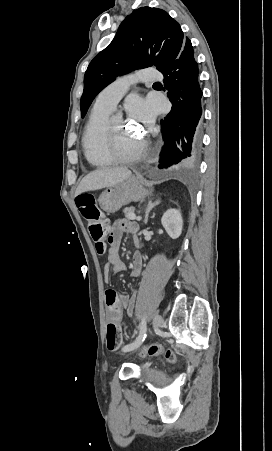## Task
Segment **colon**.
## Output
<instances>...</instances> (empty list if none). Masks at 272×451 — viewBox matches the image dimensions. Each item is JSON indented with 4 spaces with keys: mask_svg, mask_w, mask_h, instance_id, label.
<instances>
[{
    "mask_svg": "<svg viewBox=\"0 0 272 451\" xmlns=\"http://www.w3.org/2000/svg\"><path fill=\"white\" fill-rule=\"evenodd\" d=\"M76 204L81 211L82 217L86 220L90 235L95 243L96 252L103 254L107 246L105 239L108 236L106 230L102 228V212L99 209L98 201L88 194H83L76 198ZM105 344L107 350L113 354L118 347H121L122 340L119 334L118 325L112 320H107L105 326ZM135 347V346H134ZM161 350V349H160ZM159 348L156 345H137V354H156ZM164 357L170 361H174L175 357L171 350L164 352Z\"/></svg>",
    "mask_w": 272,
    "mask_h": 451,
    "instance_id": "obj_1",
    "label": "colon"
}]
</instances>
